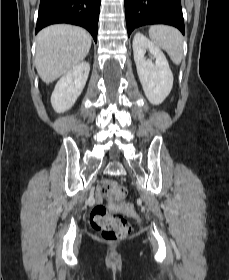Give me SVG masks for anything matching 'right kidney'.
<instances>
[{"label": "right kidney", "instance_id": "ca27d5eb", "mask_svg": "<svg viewBox=\"0 0 229 280\" xmlns=\"http://www.w3.org/2000/svg\"><path fill=\"white\" fill-rule=\"evenodd\" d=\"M90 71L88 62H81L57 82L51 95V104L58 113L69 110L81 94Z\"/></svg>", "mask_w": 229, "mask_h": 280}]
</instances>
